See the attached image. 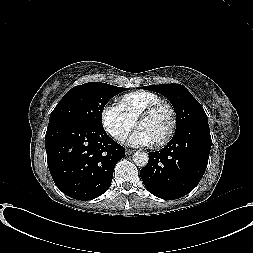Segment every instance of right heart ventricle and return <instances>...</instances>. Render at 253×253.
<instances>
[{"label":"right heart ventricle","instance_id":"right-heart-ventricle-1","mask_svg":"<svg viewBox=\"0 0 253 253\" xmlns=\"http://www.w3.org/2000/svg\"><path fill=\"white\" fill-rule=\"evenodd\" d=\"M159 101H162V98L158 94L137 90L123 95L119 100V105L135 121L141 111Z\"/></svg>","mask_w":253,"mask_h":253}]
</instances>
